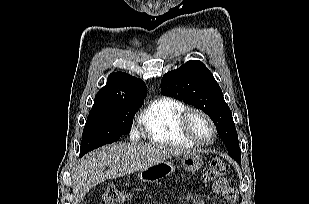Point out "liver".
<instances>
[{
	"label": "liver",
	"instance_id": "6515ba94",
	"mask_svg": "<svg viewBox=\"0 0 309 204\" xmlns=\"http://www.w3.org/2000/svg\"><path fill=\"white\" fill-rule=\"evenodd\" d=\"M187 151L155 143H118L86 155L74 169L75 200H83L86 193L106 179H116L141 171L168 158ZM109 165V169L104 171Z\"/></svg>",
	"mask_w": 309,
	"mask_h": 204
}]
</instances>
